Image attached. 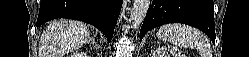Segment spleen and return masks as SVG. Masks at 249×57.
Segmentation results:
<instances>
[{"instance_id":"1","label":"spleen","mask_w":249,"mask_h":57,"mask_svg":"<svg viewBox=\"0 0 249 57\" xmlns=\"http://www.w3.org/2000/svg\"><path fill=\"white\" fill-rule=\"evenodd\" d=\"M157 37L174 45L196 49L202 57H212L210 44L205 35L188 25L178 23L164 25L157 32Z\"/></svg>"}]
</instances>
